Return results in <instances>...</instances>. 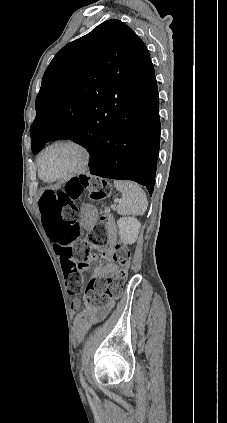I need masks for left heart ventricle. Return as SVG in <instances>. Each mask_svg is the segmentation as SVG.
Returning a JSON list of instances; mask_svg holds the SVG:
<instances>
[{
  "mask_svg": "<svg viewBox=\"0 0 227 423\" xmlns=\"http://www.w3.org/2000/svg\"><path fill=\"white\" fill-rule=\"evenodd\" d=\"M81 153L67 145L56 146L48 150L42 158L45 176L55 177L66 174L81 162Z\"/></svg>",
  "mask_w": 227,
  "mask_h": 423,
  "instance_id": "b2bd125f",
  "label": "left heart ventricle"
}]
</instances>
